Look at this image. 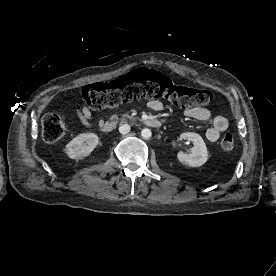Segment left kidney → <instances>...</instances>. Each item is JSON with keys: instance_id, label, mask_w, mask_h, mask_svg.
<instances>
[{"instance_id": "obj_1", "label": "left kidney", "mask_w": 276, "mask_h": 276, "mask_svg": "<svg viewBox=\"0 0 276 276\" xmlns=\"http://www.w3.org/2000/svg\"><path fill=\"white\" fill-rule=\"evenodd\" d=\"M181 139L189 140L193 143L191 153L179 152L177 158L179 162L191 167H199L206 163L208 159V151L203 138L193 132H186L180 135Z\"/></svg>"}]
</instances>
